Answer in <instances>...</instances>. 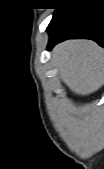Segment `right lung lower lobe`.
Masks as SVG:
<instances>
[{
  "label": "right lung lower lobe",
  "mask_w": 104,
  "mask_h": 169,
  "mask_svg": "<svg viewBox=\"0 0 104 169\" xmlns=\"http://www.w3.org/2000/svg\"><path fill=\"white\" fill-rule=\"evenodd\" d=\"M48 49L70 38L96 41L104 47V7L99 0H80L64 6L51 20Z\"/></svg>",
  "instance_id": "right-lung-lower-lobe-1"
}]
</instances>
